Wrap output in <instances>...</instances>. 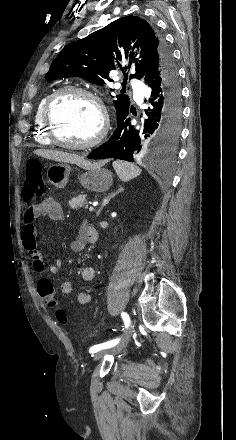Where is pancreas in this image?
Wrapping results in <instances>:
<instances>
[{
  "label": "pancreas",
  "mask_w": 236,
  "mask_h": 440,
  "mask_svg": "<svg viewBox=\"0 0 236 440\" xmlns=\"http://www.w3.org/2000/svg\"><path fill=\"white\" fill-rule=\"evenodd\" d=\"M69 205L72 209H79L82 207L87 206V196L86 195H79L77 197L72 198L69 201Z\"/></svg>",
  "instance_id": "pancreas-1"
}]
</instances>
